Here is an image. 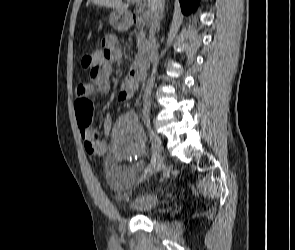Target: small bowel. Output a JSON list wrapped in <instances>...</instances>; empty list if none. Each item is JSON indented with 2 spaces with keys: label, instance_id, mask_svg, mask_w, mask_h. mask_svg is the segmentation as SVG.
Here are the masks:
<instances>
[{
  "label": "small bowel",
  "instance_id": "small-bowel-1",
  "mask_svg": "<svg viewBox=\"0 0 295 250\" xmlns=\"http://www.w3.org/2000/svg\"><path fill=\"white\" fill-rule=\"evenodd\" d=\"M102 48L93 55L94 66L90 72V81L79 84L75 90L77 99L90 98L97 95H106L111 89V63L122 58V51L117 45L114 35H106L101 40ZM138 88V79L132 71L122 82L118 94L120 102L128 101ZM104 130L111 132L110 154L115 161L137 157L143 152V132L137 116L133 112L121 115L112 126V118L106 114L103 118ZM84 148L90 155H105L108 152L106 144L97 136L95 128H80ZM143 167L141 161L134 165H116L108 171L110 186L117 192H125L136 181L138 171Z\"/></svg>",
  "mask_w": 295,
  "mask_h": 250
}]
</instances>
